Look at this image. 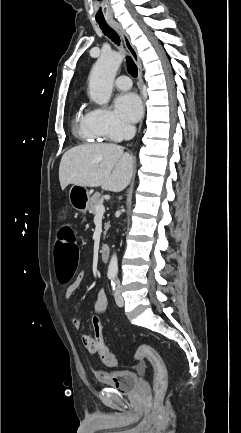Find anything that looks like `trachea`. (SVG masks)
Masks as SVG:
<instances>
[{
	"label": "trachea",
	"instance_id": "1",
	"mask_svg": "<svg viewBox=\"0 0 241 433\" xmlns=\"http://www.w3.org/2000/svg\"><path fill=\"white\" fill-rule=\"evenodd\" d=\"M98 8V5H95ZM103 5L94 12V22L100 26L104 35L111 39L115 44L120 45L119 35L105 22L104 14L102 12ZM128 72L131 76L137 77L138 68L130 56H126Z\"/></svg>",
	"mask_w": 241,
	"mask_h": 433
}]
</instances>
